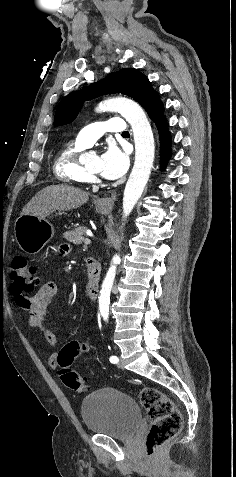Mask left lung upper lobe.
<instances>
[{
    "label": "left lung upper lobe",
    "mask_w": 236,
    "mask_h": 477,
    "mask_svg": "<svg viewBox=\"0 0 236 477\" xmlns=\"http://www.w3.org/2000/svg\"><path fill=\"white\" fill-rule=\"evenodd\" d=\"M122 93L134 98L146 110L157 93L145 75L136 69H122L108 74L103 80L69 94L59 104L55 114V125L72 122L82 107L84 100L102 94Z\"/></svg>",
    "instance_id": "obj_1"
}]
</instances>
